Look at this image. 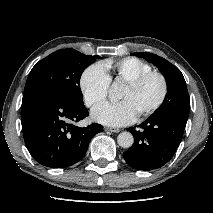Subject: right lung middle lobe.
Returning a JSON list of instances; mask_svg holds the SVG:
<instances>
[{
	"label": "right lung middle lobe",
	"instance_id": "obj_1",
	"mask_svg": "<svg viewBox=\"0 0 213 213\" xmlns=\"http://www.w3.org/2000/svg\"><path fill=\"white\" fill-rule=\"evenodd\" d=\"M97 58L99 56H87L71 48L53 52L35 64L25 89L44 87L76 107L84 106L80 77L84 69Z\"/></svg>",
	"mask_w": 213,
	"mask_h": 213
}]
</instances>
